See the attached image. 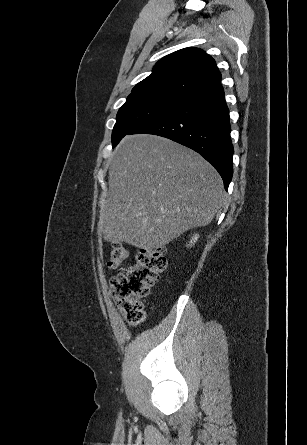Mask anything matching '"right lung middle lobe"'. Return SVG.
Listing matches in <instances>:
<instances>
[{"label":"right lung middle lobe","mask_w":307,"mask_h":445,"mask_svg":"<svg viewBox=\"0 0 307 445\" xmlns=\"http://www.w3.org/2000/svg\"><path fill=\"white\" fill-rule=\"evenodd\" d=\"M183 101L182 98L162 95L128 96L117 113L112 144H117L133 129L174 109Z\"/></svg>","instance_id":"1"}]
</instances>
